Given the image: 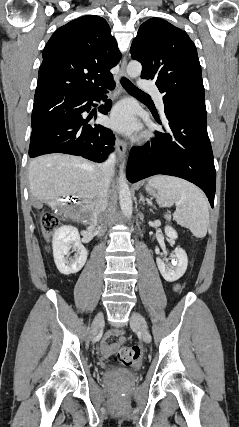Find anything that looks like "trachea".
<instances>
[{"mask_svg":"<svg viewBox=\"0 0 239 427\" xmlns=\"http://www.w3.org/2000/svg\"><path fill=\"white\" fill-rule=\"evenodd\" d=\"M121 83L123 85V87L131 93H134L136 95L142 96V97H149V95H147L146 93H144L143 91L139 90L131 81H129L127 78L123 77L121 79Z\"/></svg>","mask_w":239,"mask_h":427,"instance_id":"obj_1","label":"trachea"}]
</instances>
